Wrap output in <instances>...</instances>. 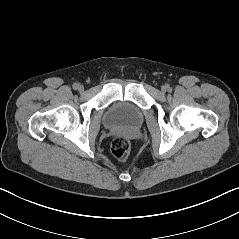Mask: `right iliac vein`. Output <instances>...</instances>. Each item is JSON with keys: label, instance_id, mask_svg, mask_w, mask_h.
<instances>
[{"label": "right iliac vein", "instance_id": "63e3f726", "mask_svg": "<svg viewBox=\"0 0 239 239\" xmlns=\"http://www.w3.org/2000/svg\"><path fill=\"white\" fill-rule=\"evenodd\" d=\"M78 90H79V92H83L84 91V87L82 85H80Z\"/></svg>", "mask_w": 239, "mask_h": 239}]
</instances>
